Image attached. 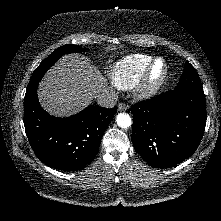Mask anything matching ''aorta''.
I'll use <instances>...</instances> for the list:
<instances>
[{
    "label": "aorta",
    "instance_id": "obj_1",
    "mask_svg": "<svg viewBox=\"0 0 221 221\" xmlns=\"http://www.w3.org/2000/svg\"><path fill=\"white\" fill-rule=\"evenodd\" d=\"M116 121L119 127L121 128H128L132 124L131 117L127 113H119L116 117Z\"/></svg>",
    "mask_w": 221,
    "mask_h": 221
}]
</instances>
